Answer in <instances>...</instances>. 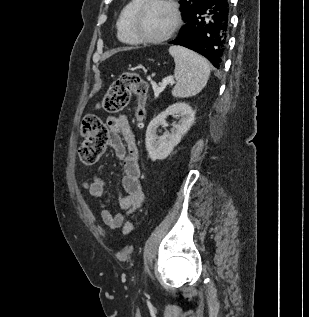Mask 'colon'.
Returning a JSON list of instances; mask_svg holds the SVG:
<instances>
[{
    "label": "colon",
    "mask_w": 309,
    "mask_h": 317,
    "mask_svg": "<svg viewBox=\"0 0 309 317\" xmlns=\"http://www.w3.org/2000/svg\"><path fill=\"white\" fill-rule=\"evenodd\" d=\"M147 83L135 72H125L109 87L100 106L109 113H115L125 108L134 93L137 96L136 119L141 122L145 117L147 99ZM84 140L79 148V159L83 166L94 165L103 154L108 138L107 128L101 118L87 115L82 123ZM124 233L129 235L133 225L127 221Z\"/></svg>",
    "instance_id": "1"
}]
</instances>
